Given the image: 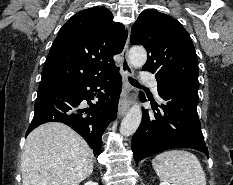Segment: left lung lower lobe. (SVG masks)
I'll list each match as a JSON object with an SVG mask.
<instances>
[{"instance_id":"0a47b994","label":"left lung lower lobe","mask_w":233,"mask_h":185,"mask_svg":"<svg viewBox=\"0 0 233 185\" xmlns=\"http://www.w3.org/2000/svg\"><path fill=\"white\" fill-rule=\"evenodd\" d=\"M199 84L158 83L163 100L154 115L143 110L142 122L132 138L133 157L138 162L170 148H192L208 155L197 114ZM140 99L145 101L143 93Z\"/></svg>"}]
</instances>
